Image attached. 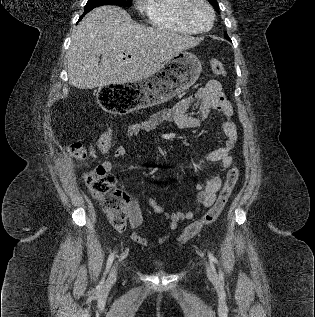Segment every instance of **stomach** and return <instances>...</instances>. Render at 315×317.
I'll list each match as a JSON object with an SVG mask.
<instances>
[{"label": "stomach", "mask_w": 315, "mask_h": 317, "mask_svg": "<svg viewBox=\"0 0 315 317\" xmlns=\"http://www.w3.org/2000/svg\"><path fill=\"white\" fill-rule=\"evenodd\" d=\"M202 63L196 55L182 51L168 59L154 75L133 84H104L100 104L110 114H131L132 110L159 105L191 87L199 78Z\"/></svg>", "instance_id": "stomach-1"}]
</instances>
